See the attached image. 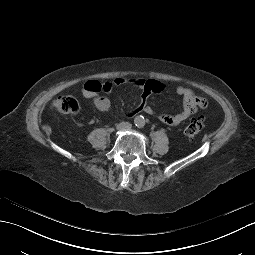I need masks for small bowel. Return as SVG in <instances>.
<instances>
[{"mask_svg": "<svg viewBox=\"0 0 255 255\" xmlns=\"http://www.w3.org/2000/svg\"><path fill=\"white\" fill-rule=\"evenodd\" d=\"M121 86L135 87L143 92L141 103L136 108L128 111L127 116L133 117L144 112L154 116L157 120L168 126H176L193 115L198 109H205L208 106L207 101L197 96L192 89L179 85L176 87L175 92L183 99L182 111L174 115L156 113L147 103L148 97L152 93H160L165 90V84L156 79L115 78L105 83L89 80L83 85L81 93L85 98L92 99L99 111L109 113L111 111V102L101 93L112 91Z\"/></svg>", "mask_w": 255, "mask_h": 255, "instance_id": "1", "label": "small bowel"}]
</instances>
